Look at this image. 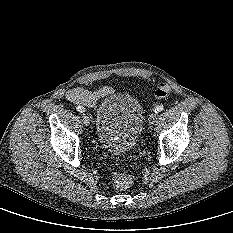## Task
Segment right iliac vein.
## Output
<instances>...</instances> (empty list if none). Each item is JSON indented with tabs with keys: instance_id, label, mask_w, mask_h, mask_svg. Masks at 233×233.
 <instances>
[{
	"instance_id": "obj_1",
	"label": "right iliac vein",
	"mask_w": 233,
	"mask_h": 233,
	"mask_svg": "<svg viewBox=\"0 0 233 233\" xmlns=\"http://www.w3.org/2000/svg\"><path fill=\"white\" fill-rule=\"evenodd\" d=\"M83 122L86 126H89L90 124V119L86 114H82Z\"/></svg>"
}]
</instances>
